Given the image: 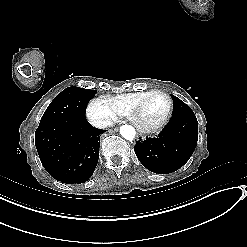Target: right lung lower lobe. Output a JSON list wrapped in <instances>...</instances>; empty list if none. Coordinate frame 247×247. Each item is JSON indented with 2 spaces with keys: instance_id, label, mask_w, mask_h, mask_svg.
<instances>
[{
  "instance_id": "right-lung-lower-lobe-1",
  "label": "right lung lower lobe",
  "mask_w": 247,
  "mask_h": 247,
  "mask_svg": "<svg viewBox=\"0 0 247 247\" xmlns=\"http://www.w3.org/2000/svg\"><path fill=\"white\" fill-rule=\"evenodd\" d=\"M102 132L86 118L39 124L35 145L43 167L62 183H84L92 176L98 163Z\"/></svg>"
}]
</instances>
